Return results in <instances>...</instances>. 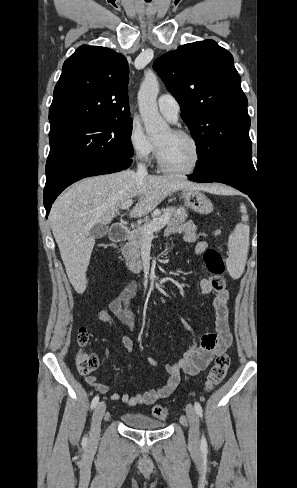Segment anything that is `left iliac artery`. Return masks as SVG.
<instances>
[{
  "instance_id": "44dca946",
  "label": "left iliac artery",
  "mask_w": 297,
  "mask_h": 488,
  "mask_svg": "<svg viewBox=\"0 0 297 488\" xmlns=\"http://www.w3.org/2000/svg\"><path fill=\"white\" fill-rule=\"evenodd\" d=\"M194 407H195V410H196V413L198 414V416L202 418L203 410H202L200 403L196 401L194 404ZM200 448L203 452L207 451V441H206V438L204 437V435L202 436V439H201Z\"/></svg>"
}]
</instances>
